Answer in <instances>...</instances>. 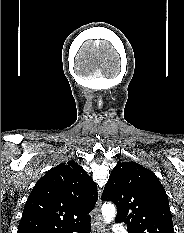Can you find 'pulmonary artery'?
Instances as JSON below:
<instances>
[{"label":"pulmonary artery","mask_w":184,"mask_h":233,"mask_svg":"<svg viewBox=\"0 0 184 233\" xmlns=\"http://www.w3.org/2000/svg\"><path fill=\"white\" fill-rule=\"evenodd\" d=\"M112 230L114 233H127V230L121 225H115Z\"/></svg>","instance_id":"e3ab8cb5"}]
</instances>
